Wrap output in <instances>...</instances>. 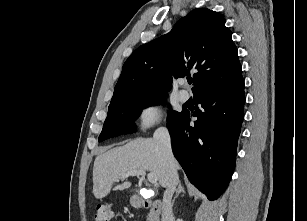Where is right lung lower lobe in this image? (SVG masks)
Returning <instances> with one entry per match:
<instances>
[{
  "instance_id": "98d812e1",
  "label": "right lung lower lobe",
  "mask_w": 307,
  "mask_h": 221,
  "mask_svg": "<svg viewBox=\"0 0 307 221\" xmlns=\"http://www.w3.org/2000/svg\"><path fill=\"white\" fill-rule=\"evenodd\" d=\"M201 104L192 116L182 111L168 122L174 156L190 182L217 199L226 189L234 171L237 142L244 118V80L237 84L194 96Z\"/></svg>"
}]
</instances>
